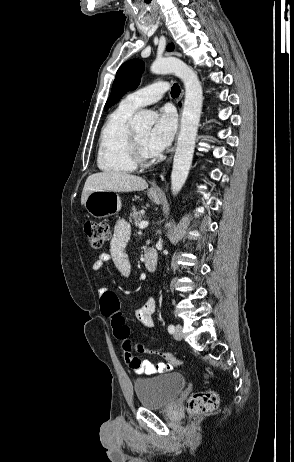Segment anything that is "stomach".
<instances>
[{
	"mask_svg": "<svg viewBox=\"0 0 294 462\" xmlns=\"http://www.w3.org/2000/svg\"><path fill=\"white\" fill-rule=\"evenodd\" d=\"M148 196L156 204L161 203V197L155 191L149 190ZM84 207L93 217L103 218L117 214L121 209V200L116 192L93 191L88 195Z\"/></svg>",
	"mask_w": 294,
	"mask_h": 462,
	"instance_id": "0dacf381",
	"label": "stomach"
}]
</instances>
